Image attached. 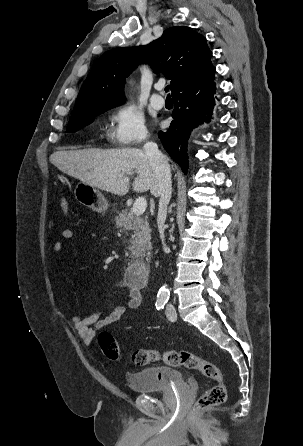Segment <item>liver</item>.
Wrapping results in <instances>:
<instances>
[{
    "label": "liver",
    "mask_w": 303,
    "mask_h": 446,
    "mask_svg": "<svg viewBox=\"0 0 303 446\" xmlns=\"http://www.w3.org/2000/svg\"><path fill=\"white\" fill-rule=\"evenodd\" d=\"M50 161L63 173L101 190L123 196L130 188V175L135 171L133 190L158 196V181L144 150L138 148L83 149L57 151Z\"/></svg>",
    "instance_id": "1"
}]
</instances>
